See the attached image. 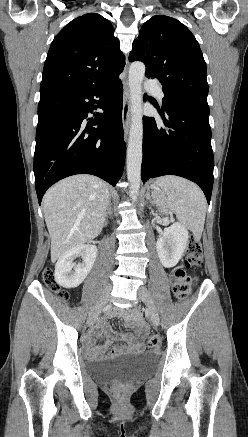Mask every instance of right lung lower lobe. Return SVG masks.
I'll return each mask as SVG.
<instances>
[{
	"label": "right lung lower lobe",
	"mask_w": 248,
	"mask_h": 437,
	"mask_svg": "<svg viewBox=\"0 0 248 437\" xmlns=\"http://www.w3.org/2000/svg\"><path fill=\"white\" fill-rule=\"evenodd\" d=\"M122 95L118 76L99 87L40 93L34 154L39 204L51 185L71 175L92 174L113 186L119 181L126 152ZM94 103L104 112L87 119Z\"/></svg>",
	"instance_id": "98d812e1"
}]
</instances>
